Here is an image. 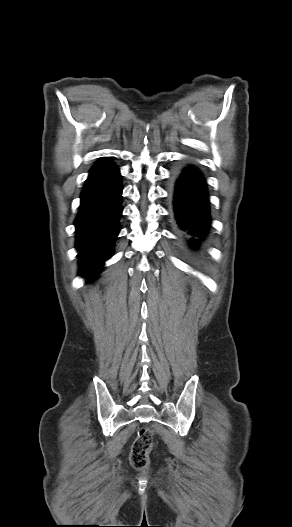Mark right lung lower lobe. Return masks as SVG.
I'll return each mask as SVG.
<instances>
[{
    "instance_id": "1",
    "label": "right lung lower lobe",
    "mask_w": 292,
    "mask_h": 527,
    "mask_svg": "<svg viewBox=\"0 0 292 527\" xmlns=\"http://www.w3.org/2000/svg\"><path fill=\"white\" fill-rule=\"evenodd\" d=\"M121 193L117 166L99 160L86 180L75 219L80 274L84 276L95 277L113 253L122 214Z\"/></svg>"
}]
</instances>
